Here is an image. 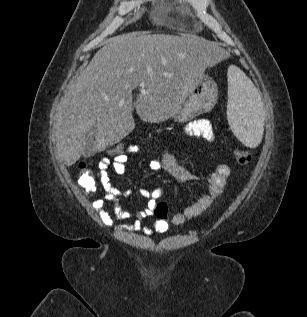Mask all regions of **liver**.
Returning <instances> with one entry per match:
<instances>
[{
    "label": "liver",
    "instance_id": "6515ba94",
    "mask_svg": "<svg viewBox=\"0 0 307 317\" xmlns=\"http://www.w3.org/2000/svg\"><path fill=\"white\" fill-rule=\"evenodd\" d=\"M225 54V48L191 34L134 32L108 39L61 99L55 125L58 157L67 166L75 164L93 126L95 151L119 142L135 128L134 108L145 122L175 115L197 77L212 63L222 65ZM140 84L133 103L132 91Z\"/></svg>",
    "mask_w": 307,
    "mask_h": 317
}]
</instances>
